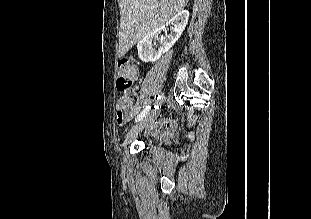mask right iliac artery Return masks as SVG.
Instances as JSON below:
<instances>
[{
	"label": "right iliac artery",
	"instance_id": "obj_1",
	"mask_svg": "<svg viewBox=\"0 0 311 219\" xmlns=\"http://www.w3.org/2000/svg\"><path fill=\"white\" fill-rule=\"evenodd\" d=\"M158 99H161V96L158 97ZM150 108H151L150 106H146V108L137 116V118L135 119V122H139L140 120H142L145 117V115L148 113Z\"/></svg>",
	"mask_w": 311,
	"mask_h": 219
}]
</instances>
